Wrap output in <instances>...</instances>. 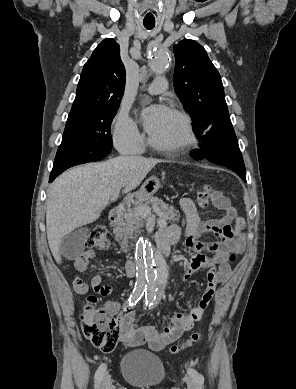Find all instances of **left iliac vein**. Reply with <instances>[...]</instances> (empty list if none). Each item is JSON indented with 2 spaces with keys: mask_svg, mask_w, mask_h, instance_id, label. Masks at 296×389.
I'll list each match as a JSON object with an SVG mask.
<instances>
[{
  "mask_svg": "<svg viewBox=\"0 0 296 389\" xmlns=\"http://www.w3.org/2000/svg\"><path fill=\"white\" fill-rule=\"evenodd\" d=\"M186 384L188 389H197L196 383L189 377L186 378Z\"/></svg>",
  "mask_w": 296,
  "mask_h": 389,
  "instance_id": "1",
  "label": "left iliac vein"
}]
</instances>
